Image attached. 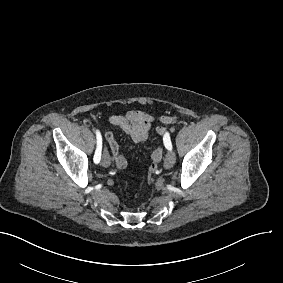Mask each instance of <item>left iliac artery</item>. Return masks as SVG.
Here are the masks:
<instances>
[{
  "instance_id": "left-iliac-artery-1",
  "label": "left iliac artery",
  "mask_w": 283,
  "mask_h": 283,
  "mask_svg": "<svg viewBox=\"0 0 283 283\" xmlns=\"http://www.w3.org/2000/svg\"><path fill=\"white\" fill-rule=\"evenodd\" d=\"M163 142H164L165 147H166L168 150H172V144H171V140H170L169 133H166V134L164 135Z\"/></svg>"
}]
</instances>
